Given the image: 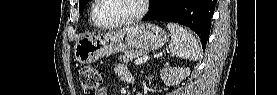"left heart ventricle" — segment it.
<instances>
[{
	"instance_id": "obj_1",
	"label": "left heart ventricle",
	"mask_w": 277,
	"mask_h": 95,
	"mask_svg": "<svg viewBox=\"0 0 277 95\" xmlns=\"http://www.w3.org/2000/svg\"><path fill=\"white\" fill-rule=\"evenodd\" d=\"M137 0H101L96 8L97 20L103 23L130 18L138 13Z\"/></svg>"
}]
</instances>
